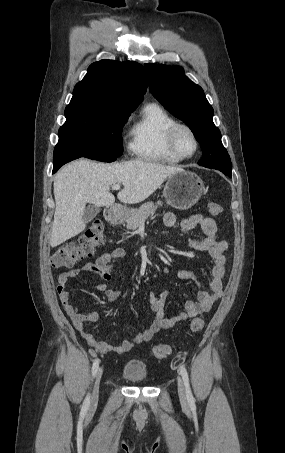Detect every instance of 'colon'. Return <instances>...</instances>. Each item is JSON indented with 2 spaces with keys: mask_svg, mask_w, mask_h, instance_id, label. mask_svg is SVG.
I'll return each mask as SVG.
<instances>
[{
  "mask_svg": "<svg viewBox=\"0 0 285 453\" xmlns=\"http://www.w3.org/2000/svg\"><path fill=\"white\" fill-rule=\"evenodd\" d=\"M208 211L212 216L221 214V206L217 203L210 202ZM104 225L100 220L93 221L86 231L77 238L62 244L51 257V264L55 268L70 267L84 258L90 257L95 247L103 241ZM205 320L203 316L194 318L190 324L192 333L199 332L203 329ZM172 351L170 345L158 344L152 349V356L155 359H164Z\"/></svg>",
  "mask_w": 285,
  "mask_h": 453,
  "instance_id": "colon-1",
  "label": "colon"
}]
</instances>
